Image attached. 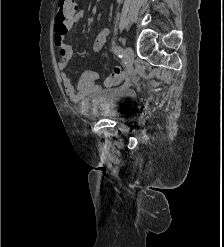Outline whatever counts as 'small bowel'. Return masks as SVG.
Masks as SVG:
<instances>
[{
    "label": "small bowel",
    "instance_id": "c3829d8e",
    "mask_svg": "<svg viewBox=\"0 0 224 247\" xmlns=\"http://www.w3.org/2000/svg\"><path fill=\"white\" fill-rule=\"evenodd\" d=\"M84 11L79 10L75 13L73 18V23H76L83 19ZM109 35V29L105 28L96 36L93 43V50L99 52L104 44L106 43L107 37ZM55 46L59 49L60 59L57 63L58 69L61 72V80L67 95L72 101L78 102L84 100L85 98L98 93L101 90V86L98 83L100 75L92 70H85L80 73L76 83L74 84L65 72L72 56L73 49L66 42L65 34L58 33L55 31L54 35ZM120 71L119 68H115L114 72Z\"/></svg>",
    "mask_w": 224,
    "mask_h": 247
}]
</instances>
